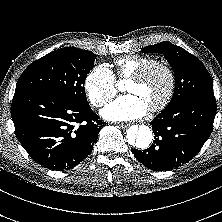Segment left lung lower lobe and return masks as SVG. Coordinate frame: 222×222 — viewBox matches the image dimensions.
Instances as JSON below:
<instances>
[{
    "label": "left lung lower lobe",
    "mask_w": 222,
    "mask_h": 222,
    "mask_svg": "<svg viewBox=\"0 0 222 222\" xmlns=\"http://www.w3.org/2000/svg\"><path fill=\"white\" fill-rule=\"evenodd\" d=\"M216 101L206 98L184 100L164 109L150 123L153 145L143 151L132 149L137 160L154 171H167L191 160L213 130Z\"/></svg>",
    "instance_id": "left-lung-lower-lobe-1"
}]
</instances>
